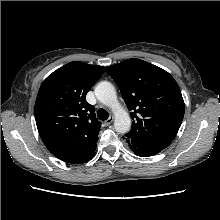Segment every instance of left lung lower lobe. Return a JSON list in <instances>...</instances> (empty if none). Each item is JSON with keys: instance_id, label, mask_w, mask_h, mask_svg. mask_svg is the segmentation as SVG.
Segmentation results:
<instances>
[{"instance_id": "obj_1", "label": "left lung lower lobe", "mask_w": 220, "mask_h": 220, "mask_svg": "<svg viewBox=\"0 0 220 220\" xmlns=\"http://www.w3.org/2000/svg\"><path fill=\"white\" fill-rule=\"evenodd\" d=\"M126 139V138H125ZM127 141V139H126ZM128 142V141H127ZM130 146V149L137 155L141 157H149L153 156L157 153H159L160 149H153V148H146V147H140V146H134L128 143Z\"/></svg>"}]
</instances>
